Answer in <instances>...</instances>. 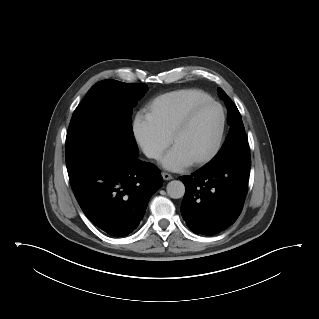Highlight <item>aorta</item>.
Returning a JSON list of instances; mask_svg holds the SVG:
<instances>
[{"instance_id": "762f6f07", "label": "aorta", "mask_w": 319, "mask_h": 319, "mask_svg": "<svg viewBox=\"0 0 319 319\" xmlns=\"http://www.w3.org/2000/svg\"><path fill=\"white\" fill-rule=\"evenodd\" d=\"M167 194L173 199H179L185 194V186L179 180H173L167 184Z\"/></svg>"}]
</instances>
